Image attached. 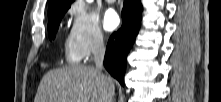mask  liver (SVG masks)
Here are the masks:
<instances>
[{
	"label": "liver",
	"instance_id": "1",
	"mask_svg": "<svg viewBox=\"0 0 221 102\" xmlns=\"http://www.w3.org/2000/svg\"><path fill=\"white\" fill-rule=\"evenodd\" d=\"M113 80L92 66L51 70L42 78L35 102H110Z\"/></svg>",
	"mask_w": 221,
	"mask_h": 102
}]
</instances>
